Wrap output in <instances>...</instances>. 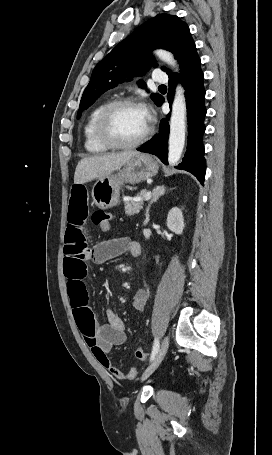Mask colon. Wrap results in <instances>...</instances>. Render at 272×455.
<instances>
[{"label":"colon","instance_id":"obj_1","mask_svg":"<svg viewBox=\"0 0 272 455\" xmlns=\"http://www.w3.org/2000/svg\"><path fill=\"white\" fill-rule=\"evenodd\" d=\"M92 222L96 224L103 233H107L111 227V215L106 211L97 210L92 215ZM135 355L138 359H147V353L142 348H137Z\"/></svg>","mask_w":272,"mask_h":455}]
</instances>
